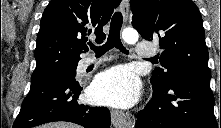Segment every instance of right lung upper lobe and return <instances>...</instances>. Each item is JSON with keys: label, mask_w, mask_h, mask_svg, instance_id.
<instances>
[{"label": "right lung upper lobe", "mask_w": 221, "mask_h": 128, "mask_svg": "<svg viewBox=\"0 0 221 128\" xmlns=\"http://www.w3.org/2000/svg\"><path fill=\"white\" fill-rule=\"evenodd\" d=\"M121 0H51L44 10L32 76H46L77 65L88 36L105 38L103 26Z\"/></svg>", "instance_id": "obj_1"}]
</instances>
